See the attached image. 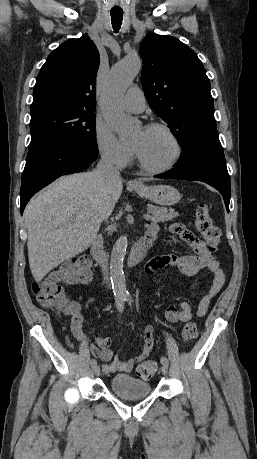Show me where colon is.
Returning a JSON list of instances; mask_svg holds the SVG:
<instances>
[{
    "label": "colon",
    "instance_id": "5ec220e1",
    "mask_svg": "<svg viewBox=\"0 0 257 459\" xmlns=\"http://www.w3.org/2000/svg\"><path fill=\"white\" fill-rule=\"evenodd\" d=\"M195 225L209 249L215 250L220 241V230L213 224L208 206L205 202H200L195 212ZM90 260L86 256H79L63 262L58 268L50 272L45 278L35 281L32 290L38 303L44 307L55 308L59 312L74 316L76 306L65 294L61 287L62 280L72 282L88 281L91 279L89 271ZM198 335L197 327L194 323L184 326L181 338L184 342L194 340ZM157 370V363L149 360L141 363L137 368V373L141 378L152 377Z\"/></svg>",
    "mask_w": 257,
    "mask_h": 459
}]
</instances>
